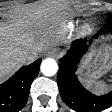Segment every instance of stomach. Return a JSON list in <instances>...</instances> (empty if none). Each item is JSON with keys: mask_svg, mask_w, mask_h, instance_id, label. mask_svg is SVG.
Masks as SVG:
<instances>
[{"mask_svg": "<svg viewBox=\"0 0 112 112\" xmlns=\"http://www.w3.org/2000/svg\"><path fill=\"white\" fill-rule=\"evenodd\" d=\"M110 68H112V52L102 47L86 62L84 76L87 81H93L103 76Z\"/></svg>", "mask_w": 112, "mask_h": 112, "instance_id": "stomach-1", "label": "stomach"}]
</instances>
